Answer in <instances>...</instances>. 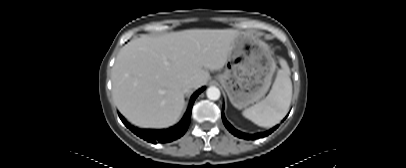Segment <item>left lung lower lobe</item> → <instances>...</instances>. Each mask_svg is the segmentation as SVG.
<instances>
[{"label": "left lung lower lobe", "mask_w": 406, "mask_h": 168, "mask_svg": "<svg viewBox=\"0 0 406 168\" xmlns=\"http://www.w3.org/2000/svg\"><path fill=\"white\" fill-rule=\"evenodd\" d=\"M224 109V107H223ZM222 120L223 123L225 125V127L235 136L242 138V139H258V138H263L265 136H268L269 134H271L274 130H276L278 128L279 125H276L275 127H273L272 129L266 131V132H262V133H256V134H245L242 133L238 130H236L225 118L224 116V112H222Z\"/></svg>", "instance_id": "left-lung-lower-lobe-1"}]
</instances>
